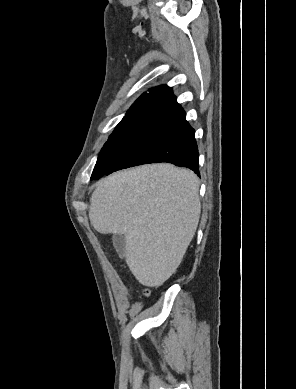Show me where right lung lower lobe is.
Masks as SVG:
<instances>
[{
    "label": "right lung lower lobe",
    "instance_id": "right-lung-lower-lobe-1",
    "mask_svg": "<svg viewBox=\"0 0 296 389\" xmlns=\"http://www.w3.org/2000/svg\"><path fill=\"white\" fill-rule=\"evenodd\" d=\"M167 162L176 166L187 167L199 174V152L195 139V130L184 118L179 124L164 135L148 152L142 164ZM141 164V165H142ZM116 169L101 173H92L91 180L99 179Z\"/></svg>",
    "mask_w": 296,
    "mask_h": 389
}]
</instances>
